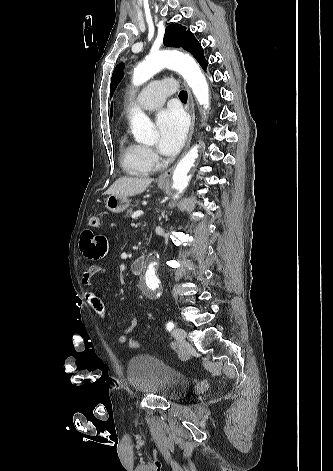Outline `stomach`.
I'll return each mask as SVG.
<instances>
[{"mask_svg": "<svg viewBox=\"0 0 333 471\" xmlns=\"http://www.w3.org/2000/svg\"><path fill=\"white\" fill-rule=\"evenodd\" d=\"M167 184L158 183L160 189H164ZM106 208L112 213H121L125 211L130 204L126 196L109 195L105 200Z\"/></svg>", "mask_w": 333, "mask_h": 471, "instance_id": "stomach-1", "label": "stomach"}]
</instances>
